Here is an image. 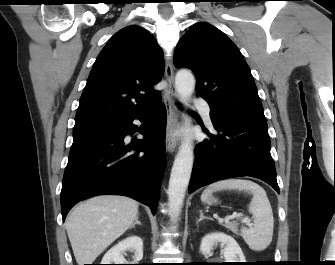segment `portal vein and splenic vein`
I'll use <instances>...</instances> for the list:
<instances>
[{
	"label": "portal vein and splenic vein",
	"instance_id": "obj_1",
	"mask_svg": "<svg viewBox=\"0 0 335 265\" xmlns=\"http://www.w3.org/2000/svg\"><path fill=\"white\" fill-rule=\"evenodd\" d=\"M236 217H238L237 214H232L231 216H227V217L224 219V222L227 223V222H229V220L234 219V218H236ZM241 221H242L243 223L247 224V225H251V221H250V219H248V218H243Z\"/></svg>",
	"mask_w": 335,
	"mask_h": 265
}]
</instances>
